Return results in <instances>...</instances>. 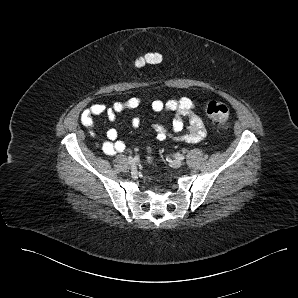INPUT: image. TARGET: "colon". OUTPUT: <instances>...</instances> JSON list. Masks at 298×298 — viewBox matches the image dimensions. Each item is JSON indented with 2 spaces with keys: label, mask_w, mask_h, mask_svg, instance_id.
<instances>
[{
  "label": "colon",
  "mask_w": 298,
  "mask_h": 298,
  "mask_svg": "<svg viewBox=\"0 0 298 298\" xmlns=\"http://www.w3.org/2000/svg\"><path fill=\"white\" fill-rule=\"evenodd\" d=\"M159 62V55L155 52H150L136 59L135 64L138 67H143L147 64H157ZM203 111L210 120L220 126L226 127L230 121V110L222 102L208 101L204 104Z\"/></svg>",
  "instance_id": "obj_1"
}]
</instances>
